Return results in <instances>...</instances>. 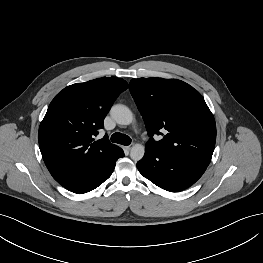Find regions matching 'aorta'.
I'll return each mask as SVG.
<instances>
[{
  "instance_id": "1",
  "label": "aorta",
  "mask_w": 263,
  "mask_h": 263,
  "mask_svg": "<svg viewBox=\"0 0 263 263\" xmlns=\"http://www.w3.org/2000/svg\"><path fill=\"white\" fill-rule=\"evenodd\" d=\"M111 117L120 125H129L133 122V114L131 110L122 104L114 105L110 110ZM145 154L144 146L134 144L131 148L130 157L137 162L143 158Z\"/></svg>"
}]
</instances>
